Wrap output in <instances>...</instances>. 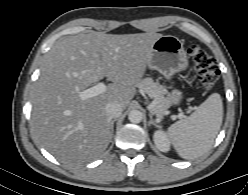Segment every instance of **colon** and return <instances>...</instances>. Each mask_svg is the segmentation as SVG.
<instances>
[{"label":"colon","instance_id":"1","mask_svg":"<svg viewBox=\"0 0 248 195\" xmlns=\"http://www.w3.org/2000/svg\"><path fill=\"white\" fill-rule=\"evenodd\" d=\"M188 53L197 72L201 85L206 90H211L219 78V69L215 59L199 46L193 45Z\"/></svg>","mask_w":248,"mask_h":195}]
</instances>
